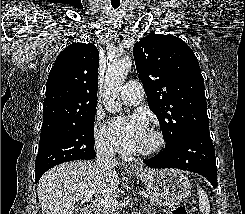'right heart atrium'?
<instances>
[{
	"mask_svg": "<svg viewBox=\"0 0 245 214\" xmlns=\"http://www.w3.org/2000/svg\"><path fill=\"white\" fill-rule=\"evenodd\" d=\"M94 139L97 151L104 156H111L114 153L113 145L110 141L107 129L96 122L94 127Z\"/></svg>",
	"mask_w": 245,
	"mask_h": 214,
	"instance_id": "right-heart-atrium-1",
	"label": "right heart atrium"
}]
</instances>
